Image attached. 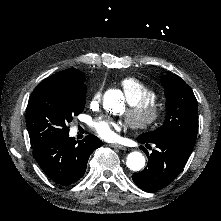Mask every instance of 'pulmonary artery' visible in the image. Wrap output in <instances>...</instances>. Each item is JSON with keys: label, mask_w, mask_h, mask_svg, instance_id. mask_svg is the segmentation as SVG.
<instances>
[{"label": "pulmonary artery", "mask_w": 221, "mask_h": 221, "mask_svg": "<svg viewBox=\"0 0 221 221\" xmlns=\"http://www.w3.org/2000/svg\"><path fill=\"white\" fill-rule=\"evenodd\" d=\"M122 87L121 93L123 97L126 99H132L138 94L140 84L138 81L129 78L123 82Z\"/></svg>", "instance_id": "obj_1"}]
</instances>
